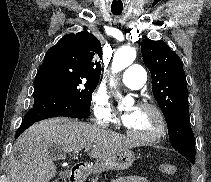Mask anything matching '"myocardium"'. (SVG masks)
I'll return each mask as SVG.
<instances>
[{
	"instance_id": "myocardium-1",
	"label": "myocardium",
	"mask_w": 211,
	"mask_h": 182,
	"mask_svg": "<svg viewBox=\"0 0 211 182\" xmlns=\"http://www.w3.org/2000/svg\"><path fill=\"white\" fill-rule=\"evenodd\" d=\"M140 108H145L153 111L158 119V128L150 136H139L131 131L128 126L125 127L127 135L141 144H152L161 139L167 130V120L163 111L155 104L149 102H143L139 105Z\"/></svg>"
}]
</instances>
